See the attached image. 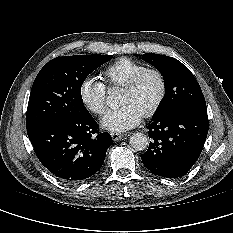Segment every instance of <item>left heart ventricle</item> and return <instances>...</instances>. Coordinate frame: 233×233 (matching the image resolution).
Returning <instances> with one entry per match:
<instances>
[{
    "mask_svg": "<svg viewBox=\"0 0 233 233\" xmlns=\"http://www.w3.org/2000/svg\"><path fill=\"white\" fill-rule=\"evenodd\" d=\"M159 91L158 78L155 75H147L135 89L122 91L120 104H131L144 114L156 100Z\"/></svg>",
    "mask_w": 233,
    "mask_h": 233,
    "instance_id": "left-heart-ventricle-1",
    "label": "left heart ventricle"
}]
</instances>
